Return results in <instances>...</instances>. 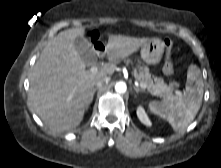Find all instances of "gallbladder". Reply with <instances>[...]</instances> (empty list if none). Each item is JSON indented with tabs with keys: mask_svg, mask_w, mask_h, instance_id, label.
<instances>
[{
	"mask_svg": "<svg viewBox=\"0 0 221 168\" xmlns=\"http://www.w3.org/2000/svg\"><path fill=\"white\" fill-rule=\"evenodd\" d=\"M75 49L86 64H95L97 56L91 45L84 39H76L74 41Z\"/></svg>",
	"mask_w": 221,
	"mask_h": 168,
	"instance_id": "obj_1",
	"label": "gallbladder"
}]
</instances>
